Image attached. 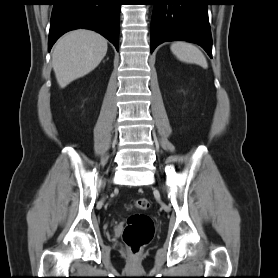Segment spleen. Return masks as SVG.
Returning a JSON list of instances; mask_svg holds the SVG:
<instances>
[{"mask_svg": "<svg viewBox=\"0 0 278 278\" xmlns=\"http://www.w3.org/2000/svg\"><path fill=\"white\" fill-rule=\"evenodd\" d=\"M170 49L180 61L195 63L203 68L208 67L207 60L203 53L191 43L177 41L171 44Z\"/></svg>", "mask_w": 278, "mask_h": 278, "instance_id": "1", "label": "spleen"}]
</instances>
